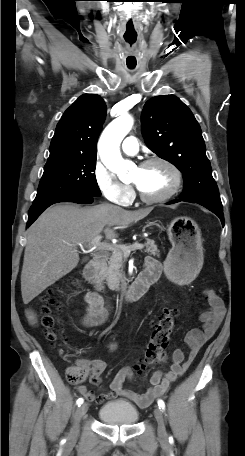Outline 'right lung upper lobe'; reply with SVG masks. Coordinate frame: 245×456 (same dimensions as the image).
I'll return each mask as SVG.
<instances>
[{"instance_id":"cb5924a9","label":"right lung upper lobe","mask_w":245,"mask_h":456,"mask_svg":"<svg viewBox=\"0 0 245 456\" xmlns=\"http://www.w3.org/2000/svg\"><path fill=\"white\" fill-rule=\"evenodd\" d=\"M106 105L96 94L80 96L63 114L50 144L47 163L97 155V140L104 123Z\"/></svg>"}]
</instances>
